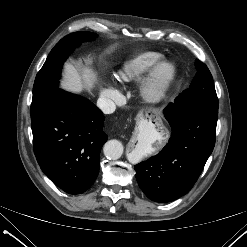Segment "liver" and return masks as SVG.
<instances>
[{"mask_svg":"<svg viewBox=\"0 0 247 247\" xmlns=\"http://www.w3.org/2000/svg\"><path fill=\"white\" fill-rule=\"evenodd\" d=\"M96 74L92 69L83 67L80 70L70 63L64 66L61 88L73 93H80L83 90L90 92L96 83Z\"/></svg>","mask_w":247,"mask_h":247,"instance_id":"obj_1","label":"liver"}]
</instances>
